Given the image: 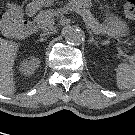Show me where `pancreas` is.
<instances>
[{"label": "pancreas", "instance_id": "obj_1", "mask_svg": "<svg viewBox=\"0 0 135 135\" xmlns=\"http://www.w3.org/2000/svg\"><path fill=\"white\" fill-rule=\"evenodd\" d=\"M70 7L74 9L77 13L85 18L86 24L94 29L96 32H106V27L103 24H100L91 14L89 9L84 7L81 3L77 1H71L69 3ZM62 11L60 9L54 10H43L35 17L34 22L37 23L38 27L42 29H51L53 28L52 24H49L50 20H53L55 17H58Z\"/></svg>", "mask_w": 135, "mask_h": 135}]
</instances>
